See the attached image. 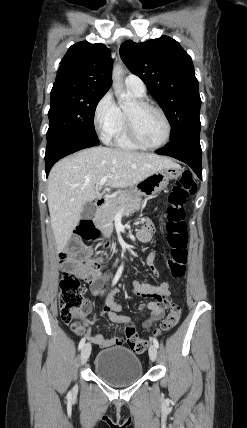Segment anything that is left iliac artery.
<instances>
[{
	"instance_id": "1",
	"label": "left iliac artery",
	"mask_w": 247,
	"mask_h": 428,
	"mask_svg": "<svg viewBox=\"0 0 247 428\" xmlns=\"http://www.w3.org/2000/svg\"><path fill=\"white\" fill-rule=\"evenodd\" d=\"M153 343L156 346V348H159V343H158V340L156 338H153Z\"/></svg>"
}]
</instances>
